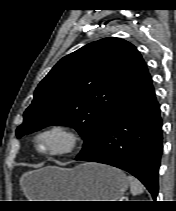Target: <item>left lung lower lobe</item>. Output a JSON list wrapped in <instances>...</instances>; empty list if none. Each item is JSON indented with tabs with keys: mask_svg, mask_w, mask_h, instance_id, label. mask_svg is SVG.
Masks as SVG:
<instances>
[{
	"mask_svg": "<svg viewBox=\"0 0 176 211\" xmlns=\"http://www.w3.org/2000/svg\"><path fill=\"white\" fill-rule=\"evenodd\" d=\"M162 120L153 86L131 98L105 121L93 144L76 160L128 171L155 199L162 154Z\"/></svg>",
	"mask_w": 176,
	"mask_h": 211,
	"instance_id": "left-lung-lower-lobe-1",
	"label": "left lung lower lobe"
}]
</instances>
